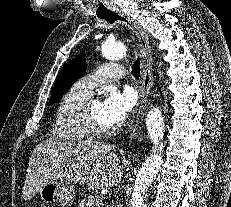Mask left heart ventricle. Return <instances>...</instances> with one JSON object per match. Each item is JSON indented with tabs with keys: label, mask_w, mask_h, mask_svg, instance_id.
<instances>
[{
	"label": "left heart ventricle",
	"mask_w": 231,
	"mask_h": 207,
	"mask_svg": "<svg viewBox=\"0 0 231 207\" xmlns=\"http://www.w3.org/2000/svg\"><path fill=\"white\" fill-rule=\"evenodd\" d=\"M91 112L95 121L102 127H111L107 124L102 117V103L100 101H94L91 105Z\"/></svg>",
	"instance_id": "left-heart-ventricle-1"
}]
</instances>
